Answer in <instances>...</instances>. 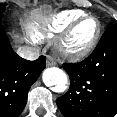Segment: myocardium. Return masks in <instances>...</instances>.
<instances>
[{
    "label": "myocardium",
    "instance_id": "f54148a6",
    "mask_svg": "<svg viewBox=\"0 0 117 117\" xmlns=\"http://www.w3.org/2000/svg\"><path fill=\"white\" fill-rule=\"evenodd\" d=\"M87 20H93L96 23V30L94 35L85 46L81 48L72 47L71 38L74 32L83 22ZM100 36H101L100 21L94 16L85 15L76 19L74 22L71 23V25L66 30H64L63 34L59 37V39L56 42V49L63 58L71 61H79L88 57L94 51L99 42Z\"/></svg>",
    "mask_w": 117,
    "mask_h": 117
}]
</instances>
